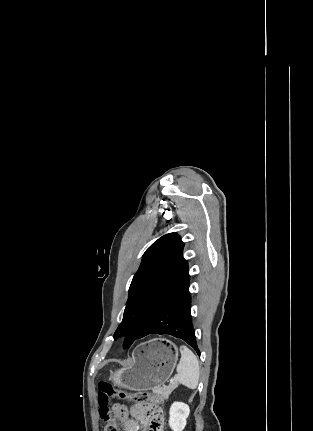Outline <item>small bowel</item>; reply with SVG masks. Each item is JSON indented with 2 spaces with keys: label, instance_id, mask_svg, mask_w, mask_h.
<instances>
[{
  "label": "small bowel",
  "instance_id": "obj_1",
  "mask_svg": "<svg viewBox=\"0 0 313 431\" xmlns=\"http://www.w3.org/2000/svg\"><path fill=\"white\" fill-rule=\"evenodd\" d=\"M113 413L123 425L124 431H152L153 418L145 405L132 404L113 406Z\"/></svg>",
  "mask_w": 313,
  "mask_h": 431
}]
</instances>
